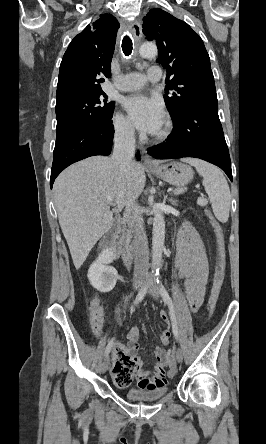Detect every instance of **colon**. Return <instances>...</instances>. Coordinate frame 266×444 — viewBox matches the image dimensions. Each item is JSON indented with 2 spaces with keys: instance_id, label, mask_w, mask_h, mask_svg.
<instances>
[{
  "instance_id": "5ec220e1",
  "label": "colon",
  "mask_w": 266,
  "mask_h": 444,
  "mask_svg": "<svg viewBox=\"0 0 266 444\" xmlns=\"http://www.w3.org/2000/svg\"><path fill=\"white\" fill-rule=\"evenodd\" d=\"M209 216L211 218V223L215 231L216 240H217V265H216V271H215V278L211 290V295L209 298L208 303V314L211 316L214 312L223 279H224V273H225V240L223 231L220 227V225L212 218L211 214L209 213ZM167 360L170 370H174V352L169 350L167 352Z\"/></svg>"
}]
</instances>
